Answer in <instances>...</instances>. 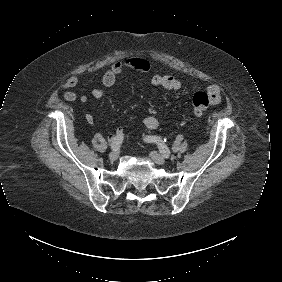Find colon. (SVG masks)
I'll use <instances>...</instances> for the list:
<instances>
[{
	"label": "colon",
	"mask_w": 282,
	"mask_h": 282,
	"mask_svg": "<svg viewBox=\"0 0 282 282\" xmlns=\"http://www.w3.org/2000/svg\"><path fill=\"white\" fill-rule=\"evenodd\" d=\"M214 102L215 100L211 99L209 94L204 91L196 92L192 98V105L197 114L203 113Z\"/></svg>",
	"instance_id": "1"
}]
</instances>
